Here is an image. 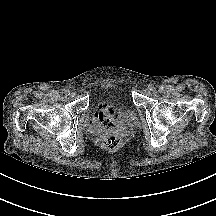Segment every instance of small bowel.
<instances>
[{"label": "small bowel", "instance_id": "small-bowel-1", "mask_svg": "<svg viewBox=\"0 0 216 216\" xmlns=\"http://www.w3.org/2000/svg\"><path fill=\"white\" fill-rule=\"evenodd\" d=\"M120 113L121 111L114 104H99L90 116L89 125L97 131L112 127L113 121Z\"/></svg>", "mask_w": 216, "mask_h": 216}]
</instances>
